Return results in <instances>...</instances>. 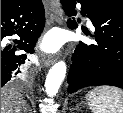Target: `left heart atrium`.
Returning <instances> with one entry per match:
<instances>
[{"mask_svg":"<svg viewBox=\"0 0 123 113\" xmlns=\"http://www.w3.org/2000/svg\"><path fill=\"white\" fill-rule=\"evenodd\" d=\"M59 39L55 36H48L42 42L41 48L46 52H54L59 48Z\"/></svg>","mask_w":123,"mask_h":113,"instance_id":"39dd6f15","label":"left heart atrium"}]
</instances>
